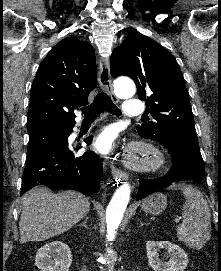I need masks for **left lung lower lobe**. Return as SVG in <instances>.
<instances>
[{"instance_id": "0a47b994", "label": "left lung lower lobe", "mask_w": 221, "mask_h": 271, "mask_svg": "<svg viewBox=\"0 0 221 271\" xmlns=\"http://www.w3.org/2000/svg\"><path fill=\"white\" fill-rule=\"evenodd\" d=\"M167 147L172 160L173 167L165 176L156 179H141L137 200L151 193L164 189L176 181L192 179L199 182L204 174L205 166L201 155L174 142H160Z\"/></svg>"}]
</instances>
